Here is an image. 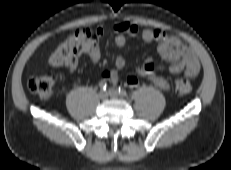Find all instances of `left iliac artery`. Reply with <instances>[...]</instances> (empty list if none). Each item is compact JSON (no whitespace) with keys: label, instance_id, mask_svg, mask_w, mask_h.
<instances>
[{"label":"left iliac artery","instance_id":"obj_1","mask_svg":"<svg viewBox=\"0 0 231 170\" xmlns=\"http://www.w3.org/2000/svg\"><path fill=\"white\" fill-rule=\"evenodd\" d=\"M118 91H119V94L122 95V96H127V91L122 88V87H119L118 88Z\"/></svg>","mask_w":231,"mask_h":170}]
</instances>
